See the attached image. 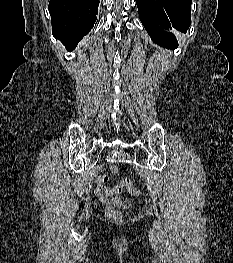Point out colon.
<instances>
[{"label": "colon", "instance_id": "1", "mask_svg": "<svg viewBox=\"0 0 233 263\" xmlns=\"http://www.w3.org/2000/svg\"><path fill=\"white\" fill-rule=\"evenodd\" d=\"M111 172L116 174L118 172V168L116 166L111 167ZM121 189H126L131 195L134 196H139L140 191L133 185L132 181L129 179H123L120 184L118 185ZM129 205L128 201H125L122 203L121 208H125ZM120 207H114V206H109L106 209V214L109 218L119 221L122 219V214L119 211Z\"/></svg>", "mask_w": 233, "mask_h": 263}]
</instances>
